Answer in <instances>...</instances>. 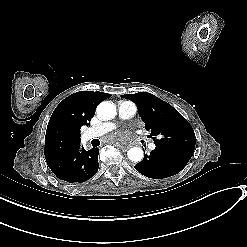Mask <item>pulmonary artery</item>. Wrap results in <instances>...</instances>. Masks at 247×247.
Listing matches in <instances>:
<instances>
[{
  "label": "pulmonary artery",
  "instance_id": "1",
  "mask_svg": "<svg viewBox=\"0 0 247 247\" xmlns=\"http://www.w3.org/2000/svg\"><path fill=\"white\" fill-rule=\"evenodd\" d=\"M136 113V107L131 106L127 103L120 102L118 104V114L119 117L122 119L130 118L134 116ZM119 126V123L117 121L111 122V121H106L105 123H102L101 125H96L95 127H91L87 130H85L82 133V141L87 142L91 139H94L97 134H102L103 132H107L108 130H114ZM146 147L148 150L153 151L156 149L157 144L155 141L150 140L147 142Z\"/></svg>",
  "mask_w": 247,
  "mask_h": 247
}]
</instances>
